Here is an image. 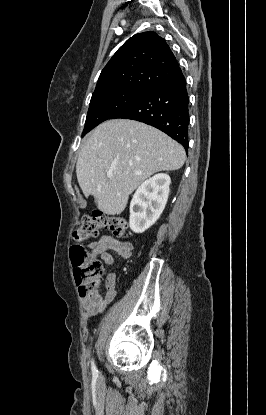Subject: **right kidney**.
Returning a JSON list of instances; mask_svg holds the SVG:
<instances>
[{
  "instance_id": "obj_1",
  "label": "right kidney",
  "mask_w": 266,
  "mask_h": 415,
  "mask_svg": "<svg viewBox=\"0 0 266 415\" xmlns=\"http://www.w3.org/2000/svg\"><path fill=\"white\" fill-rule=\"evenodd\" d=\"M171 179L167 174H156L143 182L130 203L129 225L134 233H143L160 217L168 200Z\"/></svg>"
}]
</instances>
